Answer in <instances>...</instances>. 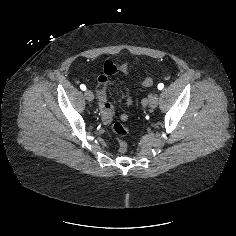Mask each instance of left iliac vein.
<instances>
[{
    "label": "left iliac vein",
    "mask_w": 236,
    "mask_h": 236,
    "mask_svg": "<svg viewBox=\"0 0 236 236\" xmlns=\"http://www.w3.org/2000/svg\"><path fill=\"white\" fill-rule=\"evenodd\" d=\"M158 102H159V95L157 93H154L149 97V106L151 108H156Z\"/></svg>",
    "instance_id": "4c4485c4"
}]
</instances>
